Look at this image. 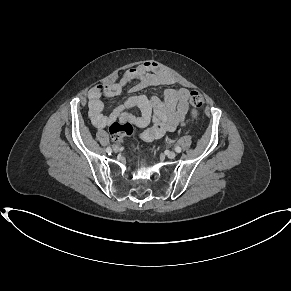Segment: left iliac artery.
Returning a JSON list of instances; mask_svg holds the SVG:
<instances>
[{
    "mask_svg": "<svg viewBox=\"0 0 291 291\" xmlns=\"http://www.w3.org/2000/svg\"><path fill=\"white\" fill-rule=\"evenodd\" d=\"M175 151H176L177 153H180V152H181V148H180L179 146H176V147H175Z\"/></svg>",
    "mask_w": 291,
    "mask_h": 291,
    "instance_id": "obj_1",
    "label": "left iliac artery"
}]
</instances>
